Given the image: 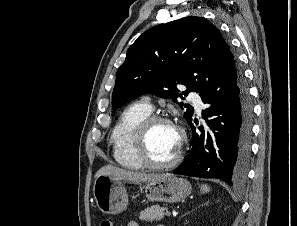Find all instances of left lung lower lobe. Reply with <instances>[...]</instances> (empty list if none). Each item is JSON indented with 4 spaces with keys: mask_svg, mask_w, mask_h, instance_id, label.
<instances>
[{
    "mask_svg": "<svg viewBox=\"0 0 297 226\" xmlns=\"http://www.w3.org/2000/svg\"><path fill=\"white\" fill-rule=\"evenodd\" d=\"M208 108L202 111L207 127L195 132L186 160L173 173L218 178L230 186L244 183L250 159L253 107L242 74L227 87L209 86L200 94Z\"/></svg>",
    "mask_w": 297,
    "mask_h": 226,
    "instance_id": "obj_1",
    "label": "left lung lower lobe"
}]
</instances>
